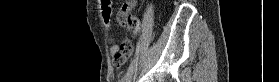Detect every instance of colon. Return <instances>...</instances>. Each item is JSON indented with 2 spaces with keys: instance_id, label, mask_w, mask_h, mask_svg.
Segmentation results:
<instances>
[{
  "instance_id": "5ec220e1",
  "label": "colon",
  "mask_w": 279,
  "mask_h": 82,
  "mask_svg": "<svg viewBox=\"0 0 279 82\" xmlns=\"http://www.w3.org/2000/svg\"><path fill=\"white\" fill-rule=\"evenodd\" d=\"M118 23L129 29L131 32L136 33L139 30L138 20L130 14L129 3L123 5L117 13ZM132 53L131 46L126 48V57L129 58Z\"/></svg>"
}]
</instances>
